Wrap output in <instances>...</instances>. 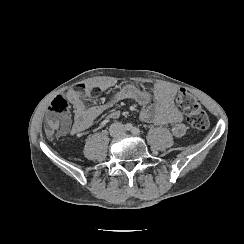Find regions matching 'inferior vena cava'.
<instances>
[{
	"label": "inferior vena cava",
	"mask_w": 244,
	"mask_h": 244,
	"mask_svg": "<svg viewBox=\"0 0 244 244\" xmlns=\"http://www.w3.org/2000/svg\"><path fill=\"white\" fill-rule=\"evenodd\" d=\"M110 135L112 137H119L125 133V129L122 123H112L109 129Z\"/></svg>",
	"instance_id": "602c4592"
}]
</instances>
